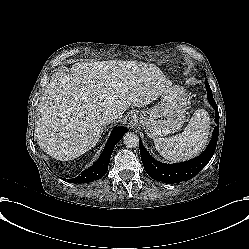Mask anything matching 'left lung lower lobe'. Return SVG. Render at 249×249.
<instances>
[{
    "mask_svg": "<svg viewBox=\"0 0 249 249\" xmlns=\"http://www.w3.org/2000/svg\"><path fill=\"white\" fill-rule=\"evenodd\" d=\"M205 86L207 90L208 101L215 110V123L217 124V126L214 128L210 143L208 144L206 150L195 159L176 164H164L152 158L140 140L139 147L142 163L147 174L153 179L165 182L167 184H174L189 180L197 175L212 158L216 149L219 134V113L218 106L214 101L211 88L207 81H205Z\"/></svg>",
    "mask_w": 249,
    "mask_h": 249,
    "instance_id": "1",
    "label": "left lung lower lobe"
}]
</instances>
